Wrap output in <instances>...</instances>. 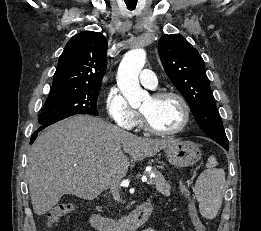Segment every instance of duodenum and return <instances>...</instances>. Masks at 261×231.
Masks as SVG:
<instances>
[{"label": "duodenum", "mask_w": 261, "mask_h": 231, "mask_svg": "<svg viewBox=\"0 0 261 231\" xmlns=\"http://www.w3.org/2000/svg\"><path fill=\"white\" fill-rule=\"evenodd\" d=\"M151 210L152 204L144 202L130 216L120 221L95 214L91 218V225L100 231H135L148 219Z\"/></svg>", "instance_id": "obj_1"}]
</instances>
